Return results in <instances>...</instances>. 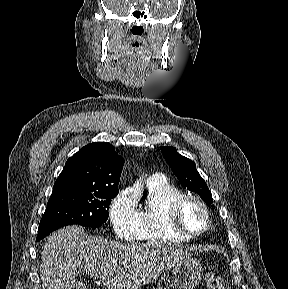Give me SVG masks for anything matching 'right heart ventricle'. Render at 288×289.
I'll list each match as a JSON object with an SVG mask.
<instances>
[{
	"label": "right heart ventricle",
	"mask_w": 288,
	"mask_h": 289,
	"mask_svg": "<svg viewBox=\"0 0 288 289\" xmlns=\"http://www.w3.org/2000/svg\"><path fill=\"white\" fill-rule=\"evenodd\" d=\"M147 196L139 209L142 229L140 239L157 245H174L189 239L173 231L166 219L168 203L183 195V191L166 179L162 182L146 184Z\"/></svg>",
	"instance_id": "right-heart-ventricle-1"
}]
</instances>
